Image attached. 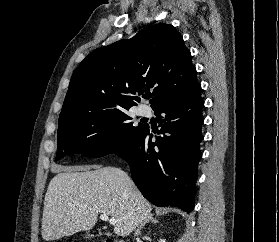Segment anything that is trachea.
Segmentation results:
<instances>
[{
	"instance_id": "obj_1",
	"label": "trachea",
	"mask_w": 279,
	"mask_h": 242,
	"mask_svg": "<svg viewBox=\"0 0 279 242\" xmlns=\"http://www.w3.org/2000/svg\"><path fill=\"white\" fill-rule=\"evenodd\" d=\"M150 97H151L150 95H149V96H147V98H148V99H150Z\"/></svg>"
}]
</instances>
